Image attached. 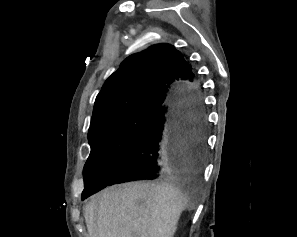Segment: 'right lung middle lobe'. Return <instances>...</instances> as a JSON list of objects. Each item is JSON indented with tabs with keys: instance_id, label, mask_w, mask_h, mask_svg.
I'll return each instance as SVG.
<instances>
[{
	"instance_id": "right-lung-middle-lobe-1",
	"label": "right lung middle lobe",
	"mask_w": 297,
	"mask_h": 237,
	"mask_svg": "<svg viewBox=\"0 0 297 237\" xmlns=\"http://www.w3.org/2000/svg\"><path fill=\"white\" fill-rule=\"evenodd\" d=\"M151 113L113 117L89 128L90 155L84 166L82 200L105 187L115 166L132 147Z\"/></svg>"
}]
</instances>
